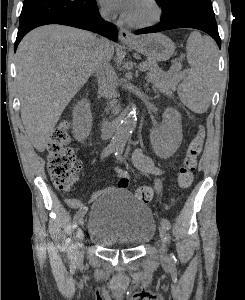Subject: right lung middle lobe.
<instances>
[{"instance_id": "1", "label": "right lung middle lobe", "mask_w": 245, "mask_h": 300, "mask_svg": "<svg viewBox=\"0 0 245 300\" xmlns=\"http://www.w3.org/2000/svg\"><path fill=\"white\" fill-rule=\"evenodd\" d=\"M96 8L95 0H25L19 30L59 17L87 15Z\"/></svg>"}]
</instances>
